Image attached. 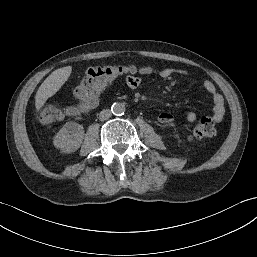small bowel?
Wrapping results in <instances>:
<instances>
[{"label":"small bowel","instance_id":"c3829d8e","mask_svg":"<svg viewBox=\"0 0 257 257\" xmlns=\"http://www.w3.org/2000/svg\"><path fill=\"white\" fill-rule=\"evenodd\" d=\"M159 76L161 78L167 79L172 76H180V77H185V78H191L193 75L190 71L182 69V68H174V67H168L164 68L159 71ZM126 83L130 88H137L140 84L139 78L134 74H130L126 78ZM203 87L207 91V93L210 95L212 104H213V119L216 122H220L225 113V105H224V98L223 96L218 92L217 88L211 81H204L203 82ZM75 112L72 109L68 110V114L72 115ZM185 119L192 123L197 119V115L195 112H188L185 115ZM157 120L162 123V124H170L173 122L174 117L171 113L169 112H161Z\"/></svg>","mask_w":257,"mask_h":257}]
</instances>
